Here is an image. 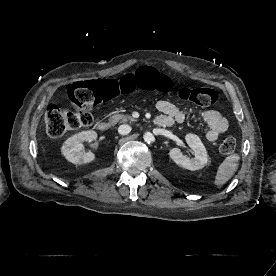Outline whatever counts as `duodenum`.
Listing matches in <instances>:
<instances>
[{
  "label": "duodenum",
  "instance_id": "duodenum-1",
  "mask_svg": "<svg viewBox=\"0 0 276 276\" xmlns=\"http://www.w3.org/2000/svg\"><path fill=\"white\" fill-rule=\"evenodd\" d=\"M155 123L159 126H166L167 125L166 121L164 119H161V118H156ZM97 128L101 132H107L110 129V124L107 121H100L97 124Z\"/></svg>",
  "mask_w": 276,
  "mask_h": 276
}]
</instances>
